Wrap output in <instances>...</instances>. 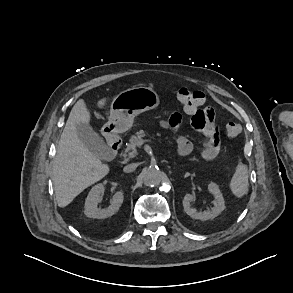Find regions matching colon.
Masks as SVG:
<instances>
[{
    "label": "colon",
    "instance_id": "colon-1",
    "mask_svg": "<svg viewBox=\"0 0 293 293\" xmlns=\"http://www.w3.org/2000/svg\"><path fill=\"white\" fill-rule=\"evenodd\" d=\"M174 94L180 105L188 113H193L194 116L199 115L200 106L203 104V94L186 87H179L174 89ZM241 127L239 124L231 122L226 127V137L228 139H235L239 136Z\"/></svg>",
    "mask_w": 293,
    "mask_h": 293
}]
</instances>
